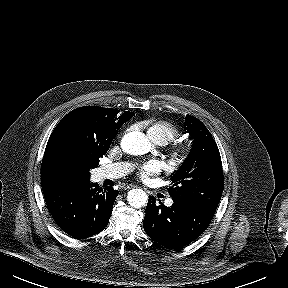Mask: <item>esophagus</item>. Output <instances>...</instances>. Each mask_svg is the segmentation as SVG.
<instances>
[{
  "mask_svg": "<svg viewBox=\"0 0 288 288\" xmlns=\"http://www.w3.org/2000/svg\"><path fill=\"white\" fill-rule=\"evenodd\" d=\"M132 187H134V186H127V188H126V189H131Z\"/></svg>",
  "mask_w": 288,
  "mask_h": 288,
  "instance_id": "34e87169",
  "label": "esophagus"
}]
</instances>
